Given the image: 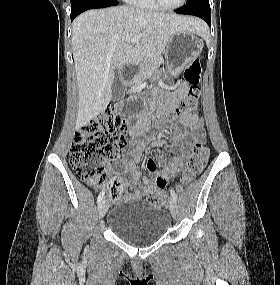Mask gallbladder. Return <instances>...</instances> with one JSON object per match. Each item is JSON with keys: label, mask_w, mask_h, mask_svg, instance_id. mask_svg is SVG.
<instances>
[{"label": "gallbladder", "mask_w": 280, "mask_h": 285, "mask_svg": "<svg viewBox=\"0 0 280 285\" xmlns=\"http://www.w3.org/2000/svg\"><path fill=\"white\" fill-rule=\"evenodd\" d=\"M124 96V85L119 73H116L112 83V98L113 100H120Z\"/></svg>", "instance_id": "bac80fb5"}]
</instances>
